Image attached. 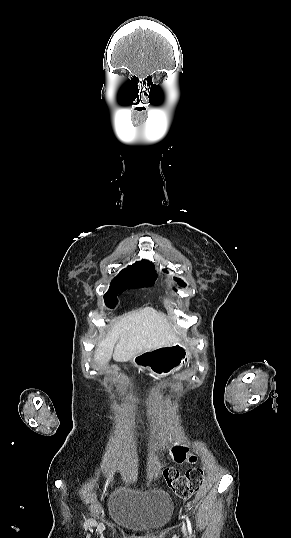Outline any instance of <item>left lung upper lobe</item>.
Listing matches in <instances>:
<instances>
[{
  "label": "left lung upper lobe",
  "mask_w": 291,
  "mask_h": 538,
  "mask_svg": "<svg viewBox=\"0 0 291 538\" xmlns=\"http://www.w3.org/2000/svg\"><path fill=\"white\" fill-rule=\"evenodd\" d=\"M178 284L181 285V286H185V283L180 281L179 279L177 280Z\"/></svg>",
  "instance_id": "obj_1"
}]
</instances>
